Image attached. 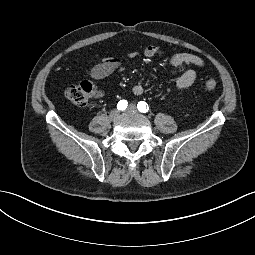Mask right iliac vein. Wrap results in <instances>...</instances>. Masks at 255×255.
<instances>
[{
  "instance_id": "obj_1",
  "label": "right iliac vein",
  "mask_w": 255,
  "mask_h": 255,
  "mask_svg": "<svg viewBox=\"0 0 255 255\" xmlns=\"http://www.w3.org/2000/svg\"><path fill=\"white\" fill-rule=\"evenodd\" d=\"M118 117H119V111L116 110V109H115V110H112V111L110 112V114H109V118H110V120H112V121L117 120Z\"/></svg>"
}]
</instances>
